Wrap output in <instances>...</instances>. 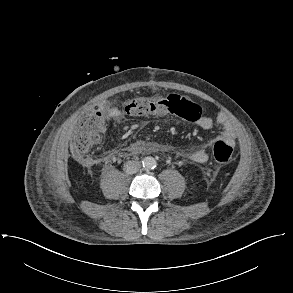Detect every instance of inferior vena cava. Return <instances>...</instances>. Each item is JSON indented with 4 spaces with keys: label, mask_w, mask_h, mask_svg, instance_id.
<instances>
[{
    "label": "inferior vena cava",
    "mask_w": 293,
    "mask_h": 293,
    "mask_svg": "<svg viewBox=\"0 0 293 293\" xmlns=\"http://www.w3.org/2000/svg\"><path fill=\"white\" fill-rule=\"evenodd\" d=\"M140 168H141V163L138 161H127L124 164V171L127 174H134L138 172Z\"/></svg>",
    "instance_id": "1"
}]
</instances>
